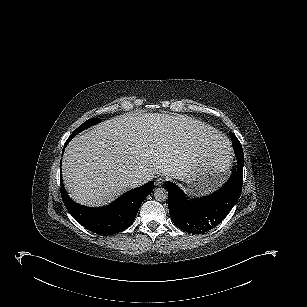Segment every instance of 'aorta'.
<instances>
[{
    "label": "aorta",
    "mask_w": 307,
    "mask_h": 307,
    "mask_svg": "<svg viewBox=\"0 0 307 307\" xmlns=\"http://www.w3.org/2000/svg\"><path fill=\"white\" fill-rule=\"evenodd\" d=\"M154 197L159 202L166 201L168 199V191L165 188H157L154 190Z\"/></svg>",
    "instance_id": "762f6f07"
}]
</instances>
